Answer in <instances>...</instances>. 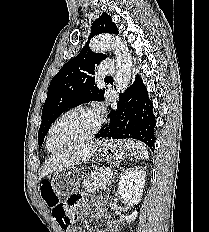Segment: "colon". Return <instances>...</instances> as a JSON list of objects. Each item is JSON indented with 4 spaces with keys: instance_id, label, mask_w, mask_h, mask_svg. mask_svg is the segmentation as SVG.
Segmentation results:
<instances>
[{
    "instance_id": "1",
    "label": "colon",
    "mask_w": 209,
    "mask_h": 232,
    "mask_svg": "<svg viewBox=\"0 0 209 232\" xmlns=\"http://www.w3.org/2000/svg\"><path fill=\"white\" fill-rule=\"evenodd\" d=\"M40 190L43 200L52 210L57 226L67 229L71 223L70 213H66L64 203L60 201L58 195L53 191L51 183L49 181L42 182Z\"/></svg>"
}]
</instances>
